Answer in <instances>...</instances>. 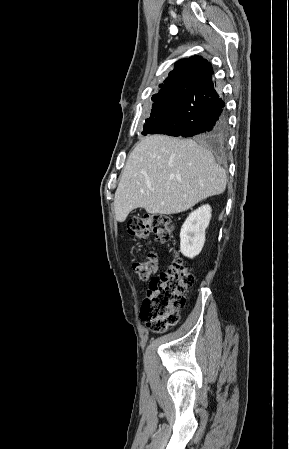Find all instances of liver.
I'll list each match as a JSON object with an SVG mask.
<instances>
[{"label":"liver","instance_id":"1","mask_svg":"<svg viewBox=\"0 0 289 449\" xmlns=\"http://www.w3.org/2000/svg\"><path fill=\"white\" fill-rule=\"evenodd\" d=\"M225 188V170L194 140L148 136L128 156L115 192V218L124 222L136 208L150 214L184 212Z\"/></svg>","mask_w":289,"mask_h":449}]
</instances>
